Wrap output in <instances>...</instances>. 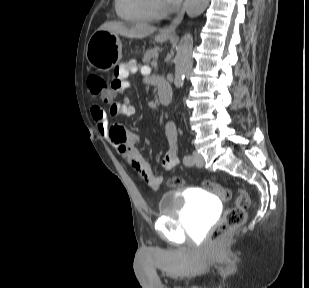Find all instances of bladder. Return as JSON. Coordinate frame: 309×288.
I'll return each mask as SVG.
<instances>
[{"label": "bladder", "mask_w": 309, "mask_h": 288, "mask_svg": "<svg viewBox=\"0 0 309 288\" xmlns=\"http://www.w3.org/2000/svg\"><path fill=\"white\" fill-rule=\"evenodd\" d=\"M219 197L209 191L172 190L157 203L158 215L175 218L183 229L200 234L213 222L220 210Z\"/></svg>", "instance_id": "obj_1"}]
</instances>
